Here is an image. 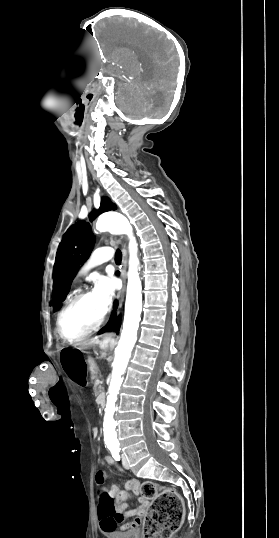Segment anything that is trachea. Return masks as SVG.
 Returning a JSON list of instances; mask_svg holds the SVG:
<instances>
[{
  "mask_svg": "<svg viewBox=\"0 0 279 538\" xmlns=\"http://www.w3.org/2000/svg\"><path fill=\"white\" fill-rule=\"evenodd\" d=\"M122 260V253L120 250H117L116 253H115V261L116 262H121Z\"/></svg>",
  "mask_w": 279,
  "mask_h": 538,
  "instance_id": "obj_1",
  "label": "trachea"
}]
</instances>
